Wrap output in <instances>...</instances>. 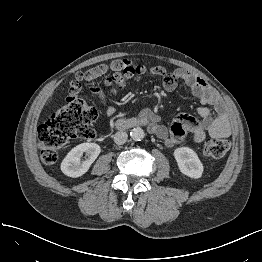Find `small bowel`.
Returning <instances> with one entry per match:
<instances>
[{
    "label": "small bowel",
    "mask_w": 262,
    "mask_h": 262,
    "mask_svg": "<svg viewBox=\"0 0 262 262\" xmlns=\"http://www.w3.org/2000/svg\"><path fill=\"white\" fill-rule=\"evenodd\" d=\"M123 61H114L110 64H103L91 69L87 75L94 79L106 74L110 70H117ZM151 73L162 77V83L167 91L176 89L178 82H183L199 100L201 106L197 109L200 121L197 122L192 116L181 114L174 119L170 127L159 124L160 116L151 109H144L138 114L148 126L150 133L155 134L163 140L169 148L181 143L187 133H191L198 142L202 141L205 133L214 138H226L231 135V128L226 115V104L223 99L215 93L200 76L190 70L175 69L168 72L163 66H154ZM208 106H213L216 115H213ZM105 114L114 116L115 111L109 105L105 106Z\"/></svg>",
    "instance_id": "c3829d8e"
}]
</instances>
